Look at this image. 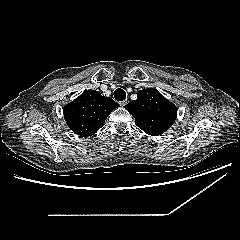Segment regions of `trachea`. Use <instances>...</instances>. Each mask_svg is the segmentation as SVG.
<instances>
[{"label":"trachea","mask_w":240,"mask_h":240,"mask_svg":"<svg viewBox=\"0 0 240 240\" xmlns=\"http://www.w3.org/2000/svg\"><path fill=\"white\" fill-rule=\"evenodd\" d=\"M114 97L117 101H124L126 99V92L123 89L118 88L114 91Z\"/></svg>","instance_id":"1"}]
</instances>
